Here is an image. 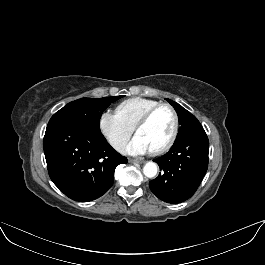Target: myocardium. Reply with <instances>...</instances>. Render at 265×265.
<instances>
[{
    "instance_id": "f54148a6",
    "label": "myocardium",
    "mask_w": 265,
    "mask_h": 265,
    "mask_svg": "<svg viewBox=\"0 0 265 265\" xmlns=\"http://www.w3.org/2000/svg\"><path fill=\"white\" fill-rule=\"evenodd\" d=\"M161 109H168L172 116H173V128L171 131L170 136L168 137V139L158 148L154 149V150H150V153L153 155H158L161 154L163 152H165L166 150H168L172 144L174 143L178 132H179V116L177 111L174 109V107H172L169 104L166 103H161L159 105H156L154 107H152L151 109H149L148 111H146L139 119L138 121L135 123L133 129L134 132L137 133L138 129L142 126H144L145 124H147L149 122V120L154 116V114H156L159 110Z\"/></svg>"
}]
</instances>
